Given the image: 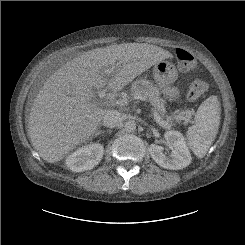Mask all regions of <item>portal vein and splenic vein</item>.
Returning <instances> with one entry per match:
<instances>
[{
    "label": "portal vein and splenic vein",
    "instance_id": "obj_1",
    "mask_svg": "<svg viewBox=\"0 0 245 245\" xmlns=\"http://www.w3.org/2000/svg\"><path fill=\"white\" fill-rule=\"evenodd\" d=\"M112 72H113V68H109V69H106V70L104 71V73H106V74H108V75L111 74ZM105 95H106V93H105L104 90H102V91L99 92V97H100V98L105 97ZM134 99H138V100H141V101H143V102H147V98H146L144 95H142V94H136V95H134ZM128 102H129L128 99H121V100L117 101L116 103H117L118 105H125V104H128ZM151 112H152V114H153V116H154L155 121H156L160 126H162V127H164V128H169V127H170V124H169L167 121H164V120L161 118V116L159 115V113H158L154 108H151Z\"/></svg>",
    "mask_w": 245,
    "mask_h": 245
}]
</instances>
